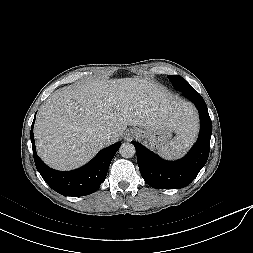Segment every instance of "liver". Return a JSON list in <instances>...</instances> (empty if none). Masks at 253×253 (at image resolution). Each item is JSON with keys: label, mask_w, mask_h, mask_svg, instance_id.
I'll return each mask as SVG.
<instances>
[{"label": "liver", "mask_w": 253, "mask_h": 253, "mask_svg": "<svg viewBox=\"0 0 253 253\" xmlns=\"http://www.w3.org/2000/svg\"><path fill=\"white\" fill-rule=\"evenodd\" d=\"M192 109L140 78L86 81L56 90L40 107L34 127L38 155L52 168L71 170L115 143L127 126L165 125L179 131ZM109 131L103 144L99 133Z\"/></svg>", "instance_id": "liver-1"}]
</instances>
